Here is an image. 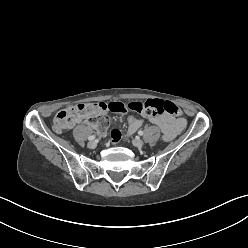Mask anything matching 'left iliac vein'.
I'll return each instance as SVG.
<instances>
[{"instance_id": "4c4485c4", "label": "left iliac vein", "mask_w": 248, "mask_h": 248, "mask_svg": "<svg viewBox=\"0 0 248 248\" xmlns=\"http://www.w3.org/2000/svg\"><path fill=\"white\" fill-rule=\"evenodd\" d=\"M132 143L137 148H141L144 145V142L139 138L134 139Z\"/></svg>"}]
</instances>
